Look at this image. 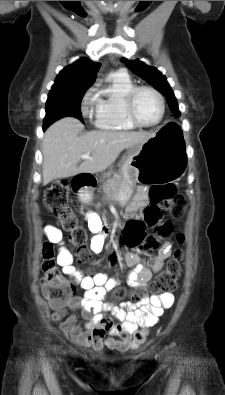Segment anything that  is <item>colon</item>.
Returning <instances> with one entry per match:
<instances>
[{
  "instance_id": "1",
  "label": "colon",
  "mask_w": 225,
  "mask_h": 395,
  "mask_svg": "<svg viewBox=\"0 0 225 395\" xmlns=\"http://www.w3.org/2000/svg\"><path fill=\"white\" fill-rule=\"evenodd\" d=\"M69 186L65 182H57L49 186L44 194L45 207L50 214L55 216L63 230L70 233V241L78 249V257L81 262L90 259V254L86 248L87 234L78 225L77 218L71 208L69 198ZM149 199L151 205L144 210L143 220L130 221L123 232V242L129 247H139L145 255H152L159 249L161 238H166L171 234L172 226L165 222L156 226V234L146 235L145 227L155 226L160 218L161 210L169 211L174 219H181L186 212L188 200L178 193L175 185H154L149 189ZM178 241L183 242V236L178 235ZM122 245L121 249L126 250L127 246ZM108 255V262H117L118 257L115 250ZM183 251L178 248L162 271L152 282L151 290L155 293H171L177 287V280L181 275V262ZM53 245L46 242L42 248V289L44 296L52 308L63 310L73 296V285L61 273L57 264ZM146 295L145 290L137 289L132 293V298L140 301ZM116 296L122 298L126 296L124 289H118Z\"/></svg>"
}]
</instances>
